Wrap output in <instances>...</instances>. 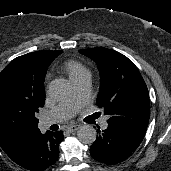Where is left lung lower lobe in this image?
I'll return each mask as SVG.
<instances>
[{
	"label": "left lung lower lobe",
	"mask_w": 171,
	"mask_h": 171,
	"mask_svg": "<svg viewBox=\"0 0 171 171\" xmlns=\"http://www.w3.org/2000/svg\"><path fill=\"white\" fill-rule=\"evenodd\" d=\"M100 132V130L98 129ZM143 137L120 127L108 124V128L100 132L91 145L90 153L93 159L108 165L123 162L137 148Z\"/></svg>",
	"instance_id": "left-lung-lower-lobe-1"
}]
</instances>
